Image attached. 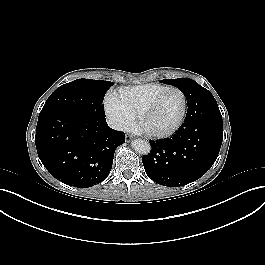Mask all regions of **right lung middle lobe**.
<instances>
[{"label": "right lung middle lobe", "instance_id": "right-lung-middle-lobe-1", "mask_svg": "<svg viewBox=\"0 0 265 265\" xmlns=\"http://www.w3.org/2000/svg\"><path fill=\"white\" fill-rule=\"evenodd\" d=\"M112 85L110 81L74 80L57 88L47 99L42 111L63 109L105 116L102 102Z\"/></svg>", "mask_w": 265, "mask_h": 265}]
</instances>
